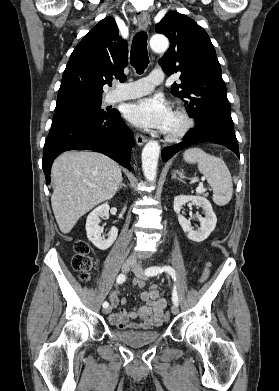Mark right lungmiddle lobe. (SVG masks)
<instances>
[{
	"instance_id": "dd1d6c3e",
	"label": "right lung middle lobe",
	"mask_w": 279,
	"mask_h": 391,
	"mask_svg": "<svg viewBox=\"0 0 279 391\" xmlns=\"http://www.w3.org/2000/svg\"><path fill=\"white\" fill-rule=\"evenodd\" d=\"M101 101H89L71 105L68 107L55 109L53 120L63 118H102L110 114L113 110L104 111L101 109Z\"/></svg>"
}]
</instances>
